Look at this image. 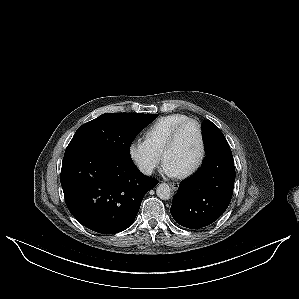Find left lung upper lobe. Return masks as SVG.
I'll return each instance as SVG.
<instances>
[{
    "label": "left lung upper lobe",
    "instance_id": "obj_1",
    "mask_svg": "<svg viewBox=\"0 0 299 299\" xmlns=\"http://www.w3.org/2000/svg\"><path fill=\"white\" fill-rule=\"evenodd\" d=\"M202 131L207 156L204 159L203 164L198 171H200L202 167L209 161L211 154H213L215 150L224 149L231 153L230 147L224 135L212 122H210L209 120H205L202 124Z\"/></svg>",
    "mask_w": 299,
    "mask_h": 299
}]
</instances>
